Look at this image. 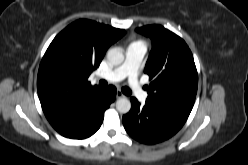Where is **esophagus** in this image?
Listing matches in <instances>:
<instances>
[{
  "label": "esophagus",
  "instance_id": "esophagus-1",
  "mask_svg": "<svg viewBox=\"0 0 248 165\" xmlns=\"http://www.w3.org/2000/svg\"><path fill=\"white\" fill-rule=\"evenodd\" d=\"M123 97H125V95L120 90H118L116 93V98L119 99V98H123Z\"/></svg>",
  "mask_w": 248,
  "mask_h": 165
}]
</instances>
